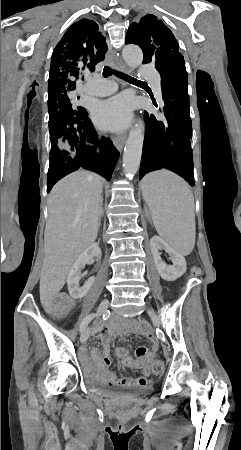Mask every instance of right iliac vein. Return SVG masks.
Segmentation results:
<instances>
[{"instance_id": "63e3f726", "label": "right iliac vein", "mask_w": 241, "mask_h": 450, "mask_svg": "<svg viewBox=\"0 0 241 450\" xmlns=\"http://www.w3.org/2000/svg\"><path fill=\"white\" fill-rule=\"evenodd\" d=\"M108 306H109V301H108V300H103V301L100 303L99 307H98V310H97V316H100L104 311H106L107 308H108ZM89 333H90V328L87 327V328L82 332L81 337H80V341H81L82 343L86 342V340L88 339Z\"/></svg>"}]
</instances>
